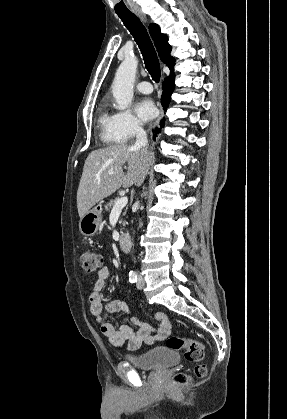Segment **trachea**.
<instances>
[{
	"label": "trachea",
	"mask_w": 287,
	"mask_h": 419,
	"mask_svg": "<svg viewBox=\"0 0 287 419\" xmlns=\"http://www.w3.org/2000/svg\"><path fill=\"white\" fill-rule=\"evenodd\" d=\"M118 16L138 44L147 71L151 75L152 79L158 83L161 76L160 64L146 28L141 23L140 19L133 13L122 15L118 14Z\"/></svg>",
	"instance_id": "obj_1"
}]
</instances>
